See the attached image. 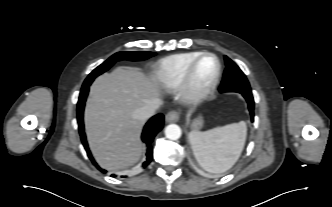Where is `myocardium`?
Listing matches in <instances>:
<instances>
[{
	"label": "myocardium",
	"instance_id": "1",
	"mask_svg": "<svg viewBox=\"0 0 332 207\" xmlns=\"http://www.w3.org/2000/svg\"><path fill=\"white\" fill-rule=\"evenodd\" d=\"M206 57H212L216 62V71L211 81L203 88H199L195 82V73L199 63ZM221 76V63L219 58L209 52L200 54L188 67L184 79L180 85V97L183 102L196 104L204 101L214 92Z\"/></svg>",
	"mask_w": 332,
	"mask_h": 207
}]
</instances>
